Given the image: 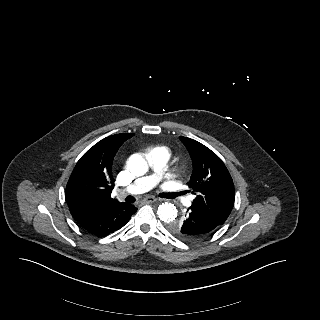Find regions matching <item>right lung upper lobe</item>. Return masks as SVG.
I'll list each match as a JSON object with an SVG mask.
<instances>
[{"mask_svg":"<svg viewBox=\"0 0 320 320\" xmlns=\"http://www.w3.org/2000/svg\"><path fill=\"white\" fill-rule=\"evenodd\" d=\"M133 135L122 133L106 137L77 162L65 191L70 213L76 221L119 203L111 198L112 162L119 147Z\"/></svg>","mask_w":320,"mask_h":320,"instance_id":"right-lung-upper-lobe-1","label":"right lung upper lobe"}]
</instances>
